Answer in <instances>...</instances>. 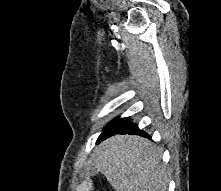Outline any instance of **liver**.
Wrapping results in <instances>:
<instances>
[{"mask_svg":"<svg viewBox=\"0 0 221 191\" xmlns=\"http://www.w3.org/2000/svg\"><path fill=\"white\" fill-rule=\"evenodd\" d=\"M95 167L116 191H166L161 151L145 138L115 135L96 148Z\"/></svg>","mask_w":221,"mask_h":191,"instance_id":"obj_1","label":"liver"}]
</instances>
